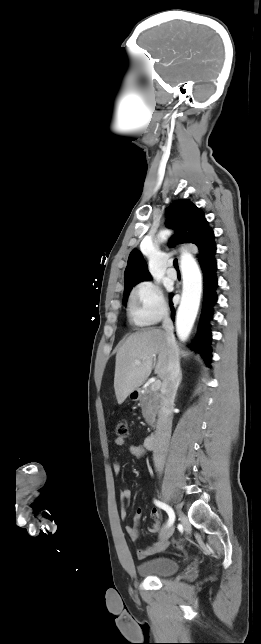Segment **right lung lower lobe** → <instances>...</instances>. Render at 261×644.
<instances>
[{
  "mask_svg": "<svg viewBox=\"0 0 261 644\" xmlns=\"http://www.w3.org/2000/svg\"><path fill=\"white\" fill-rule=\"evenodd\" d=\"M201 264V269L204 277V298H203V307L198 324L197 334L191 344L192 349L195 352L201 354L207 364H210L212 354H211V331L209 329L210 320L213 317V305L217 301L216 287H217V277H216V261L215 258H210ZM172 297V296H171ZM171 318L174 321L175 319V309L171 303Z\"/></svg>",
  "mask_w": 261,
  "mask_h": 644,
  "instance_id": "right-lung-lower-lobe-1",
  "label": "right lung lower lobe"
}]
</instances>
